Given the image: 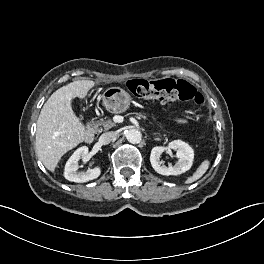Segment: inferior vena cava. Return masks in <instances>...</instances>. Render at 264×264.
<instances>
[{
  "mask_svg": "<svg viewBox=\"0 0 264 264\" xmlns=\"http://www.w3.org/2000/svg\"><path fill=\"white\" fill-rule=\"evenodd\" d=\"M116 136L115 132H106L99 138V142L103 145L109 144Z\"/></svg>",
  "mask_w": 264,
  "mask_h": 264,
  "instance_id": "inferior-vena-cava-1",
  "label": "inferior vena cava"
}]
</instances>
